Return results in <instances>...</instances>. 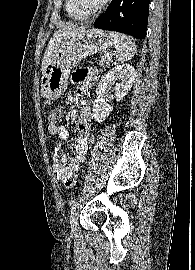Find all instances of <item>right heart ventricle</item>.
<instances>
[{
    "label": "right heart ventricle",
    "instance_id": "1",
    "mask_svg": "<svg viewBox=\"0 0 195 270\" xmlns=\"http://www.w3.org/2000/svg\"><path fill=\"white\" fill-rule=\"evenodd\" d=\"M65 10L68 14L69 17H71L74 20H85L87 19L89 16L82 14L81 12H79L73 4L72 0H65Z\"/></svg>",
    "mask_w": 195,
    "mask_h": 270
}]
</instances>
